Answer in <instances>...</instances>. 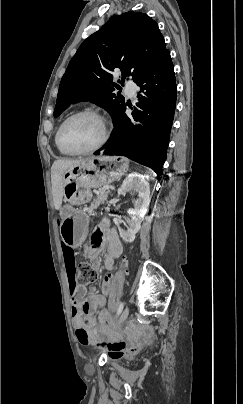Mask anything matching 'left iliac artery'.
Segmentation results:
<instances>
[{
    "mask_svg": "<svg viewBox=\"0 0 243 404\" xmlns=\"http://www.w3.org/2000/svg\"><path fill=\"white\" fill-rule=\"evenodd\" d=\"M123 308H124V302H121L117 309V315H119L122 312Z\"/></svg>",
    "mask_w": 243,
    "mask_h": 404,
    "instance_id": "1",
    "label": "left iliac artery"
}]
</instances>
